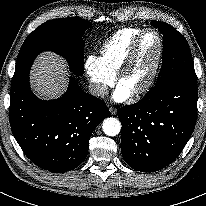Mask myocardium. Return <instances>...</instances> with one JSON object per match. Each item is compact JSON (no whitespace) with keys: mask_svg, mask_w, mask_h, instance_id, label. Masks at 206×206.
<instances>
[{"mask_svg":"<svg viewBox=\"0 0 206 206\" xmlns=\"http://www.w3.org/2000/svg\"><path fill=\"white\" fill-rule=\"evenodd\" d=\"M147 34H154L157 37L158 52H157V56H156L154 65L152 67V70L148 76V79L145 81L143 85H141L140 87H138L136 90L132 92L134 96H141L147 93L152 88V86L154 85L158 77V73H159L162 60H163V55H164V41H163L161 34L154 29H150V28L144 29L133 41L128 53L126 54L125 58L121 62L117 70V73H116V80L118 83H121V80L123 79L124 75L129 70V68L131 67L132 63L135 60V57L138 53V50H139V47L141 45L143 38Z\"/></svg>","mask_w":206,"mask_h":206,"instance_id":"myocardium-1","label":"myocardium"}]
</instances>
